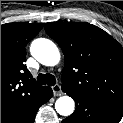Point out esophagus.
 <instances>
[{"label": "esophagus", "instance_id": "esophagus-1", "mask_svg": "<svg viewBox=\"0 0 123 123\" xmlns=\"http://www.w3.org/2000/svg\"><path fill=\"white\" fill-rule=\"evenodd\" d=\"M52 91L54 96H61L63 94L61 86L59 84L52 86Z\"/></svg>", "mask_w": 123, "mask_h": 123}]
</instances>
